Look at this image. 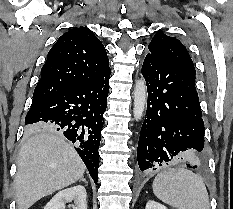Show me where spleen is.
<instances>
[{
    "mask_svg": "<svg viewBox=\"0 0 233 209\" xmlns=\"http://www.w3.org/2000/svg\"><path fill=\"white\" fill-rule=\"evenodd\" d=\"M153 192L162 202L177 209H210L202 178L184 168L160 172L153 181Z\"/></svg>",
    "mask_w": 233,
    "mask_h": 209,
    "instance_id": "3e777b00",
    "label": "spleen"
}]
</instances>
